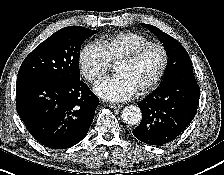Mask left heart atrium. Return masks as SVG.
Wrapping results in <instances>:
<instances>
[{"label":"left heart atrium","mask_w":224,"mask_h":175,"mask_svg":"<svg viewBox=\"0 0 224 175\" xmlns=\"http://www.w3.org/2000/svg\"><path fill=\"white\" fill-rule=\"evenodd\" d=\"M137 90L122 75H114L100 81L95 86V92L103 99L119 102L130 99Z\"/></svg>","instance_id":"1"}]
</instances>
